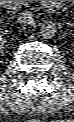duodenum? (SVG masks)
<instances>
[{
	"label": "duodenum",
	"instance_id": "410a0bca",
	"mask_svg": "<svg viewBox=\"0 0 74 122\" xmlns=\"http://www.w3.org/2000/svg\"><path fill=\"white\" fill-rule=\"evenodd\" d=\"M5 6H16V1H2ZM60 6L59 1H42V8L45 12L51 13L57 10Z\"/></svg>",
	"mask_w": 74,
	"mask_h": 122
}]
</instances>
